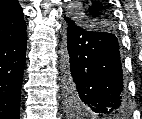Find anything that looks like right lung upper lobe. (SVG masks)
Returning a JSON list of instances; mask_svg holds the SVG:
<instances>
[{
	"mask_svg": "<svg viewBox=\"0 0 142 119\" xmlns=\"http://www.w3.org/2000/svg\"><path fill=\"white\" fill-rule=\"evenodd\" d=\"M26 30L22 8L16 0L0 1V42L15 38Z\"/></svg>",
	"mask_w": 142,
	"mask_h": 119,
	"instance_id": "1",
	"label": "right lung upper lobe"
}]
</instances>
